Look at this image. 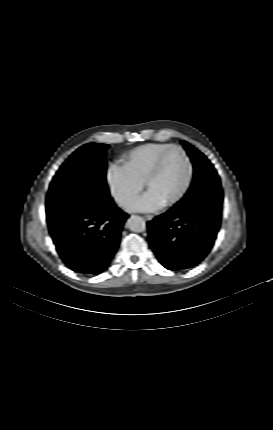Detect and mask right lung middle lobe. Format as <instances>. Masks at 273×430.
Masks as SVG:
<instances>
[{
  "label": "right lung middle lobe",
  "instance_id": "1",
  "mask_svg": "<svg viewBox=\"0 0 273 430\" xmlns=\"http://www.w3.org/2000/svg\"><path fill=\"white\" fill-rule=\"evenodd\" d=\"M109 145L88 143L77 149L53 178L46 198V215L72 207L112 200L106 184L105 161Z\"/></svg>",
  "mask_w": 273,
  "mask_h": 430
}]
</instances>
